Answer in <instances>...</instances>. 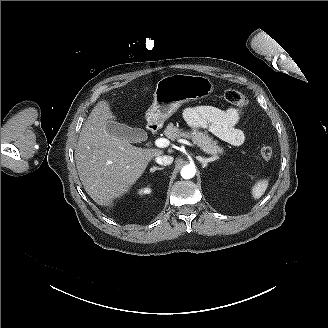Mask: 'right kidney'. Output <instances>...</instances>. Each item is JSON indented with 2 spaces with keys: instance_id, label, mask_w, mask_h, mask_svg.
Listing matches in <instances>:
<instances>
[{
  "instance_id": "ca27d5eb",
  "label": "right kidney",
  "mask_w": 328,
  "mask_h": 328,
  "mask_svg": "<svg viewBox=\"0 0 328 328\" xmlns=\"http://www.w3.org/2000/svg\"><path fill=\"white\" fill-rule=\"evenodd\" d=\"M150 193H151V188L149 187L142 188L138 191L139 195L150 194Z\"/></svg>"
}]
</instances>
